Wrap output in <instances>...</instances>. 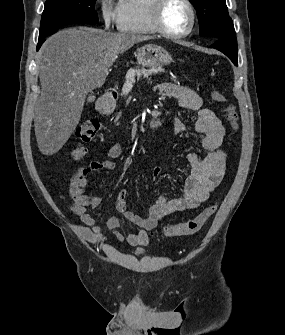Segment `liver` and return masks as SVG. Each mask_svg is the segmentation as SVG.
<instances>
[{
    "label": "liver",
    "mask_w": 285,
    "mask_h": 335,
    "mask_svg": "<svg viewBox=\"0 0 285 335\" xmlns=\"http://www.w3.org/2000/svg\"><path fill=\"white\" fill-rule=\"evenodd\" d=\"M152 38L79 26L44 42L36 58L42 92L34 114L42 154L53 156L63 148L81 120L89 92L105 84L118 54Z\"/></svg>",
    "instance_id": "obj_1"
}]
</instances>
